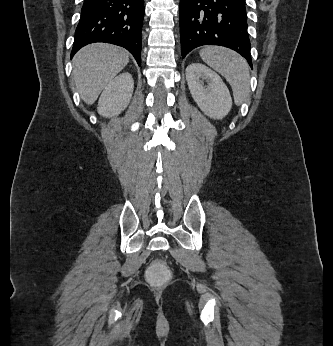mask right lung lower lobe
Masks as SVG:
<instances>
[{
	"mask_svg": "<svg viewBox=\"0 0 333 346\" xmlns=\"http://www.w3.org/2000/svg\"><path fill=\"white\" fill-rule=\"evenodd\" d=\"M144 0H84L71 58L83 46L106 42L122 46L141 64Z\"/></svg>",
	"mask_w": 333,
	"mask_h": 346,
	"instance_id": "right-lung-lower-lobe-1",
	"label": "right lung lower lobe"
}]
</instances>
